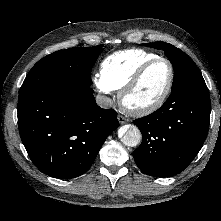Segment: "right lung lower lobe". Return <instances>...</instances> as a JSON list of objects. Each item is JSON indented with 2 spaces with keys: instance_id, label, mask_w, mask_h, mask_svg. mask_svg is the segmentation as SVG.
Wrapping results in <instances>:
<instances>
[{
  "instance_id": "right-lung-lower-lobe-1",
  "label": "right lung lower lobe",
  "mask_w": 221,
  "mask_h": 221,
  "mask_svg": "<svg viewBox=\"0 0 221 221\" xmlns=\"http://www.w3.org/2000/svg\"><path fill=\"white\" fill-rule=\"evenodd\" d=\"M21 140L44 174L82 175L119 126L114 110L100 108L91 88L26 92L18 98Z\"/></svg>"
}]
</instances>
